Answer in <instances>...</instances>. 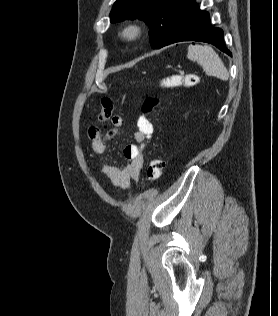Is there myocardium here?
<instances>
[{
    "instance_id": "myocardium-1",
    "label": "myocardium",
    "mask_w": 278,
    "mask_h": 316,
    "mask_svg": "<svg viewBox=\"0 0 278 316\" xmlns=\"http://www.w3.org/2000/svg\"><path fill=\"white\" fill-rule=\"evenodd\" d=\"M144 34V27L137 21L124 24L119 30V37L127 44L138 41Z\"/></svg>"
}]
</instances>
